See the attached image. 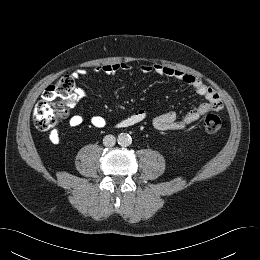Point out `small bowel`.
I'll use <instances>...</instances> for the list:
<instances>
[{"label": "small bowel", "instance_id": "small-bowel-1", "mask_svg": "<svg viewBox=\"0 0 260 260\" xmlns=\"http://www.w3.org/2000/svg\"><path fill=\"white\" fill-rule=\"evenodd\" d=\"M130 66L125 62L108 63L95 68L97 73H104L113 75L120 71H128ZM141 71L145 74H156L163 77L174 78L181 81L183 84L193 88L195 92L206 99V102L200 104L198 107L187 112L183 117L179 118L175 113L169 112L156 116L153 121V127L158 131H181L193 122L197 121L201 116L210 111H220L224 107V103L219 94L209 85L205 84L196 76L187 74L181 70L173 69L171 67L161 64H143ZM86 74L85 69H77L73 72L75 78H81ZM83 90L78 88V98L83 96ZM75 103V102H74ZM72 103L70 106H74ZM148 117V110L142 107L135 113L121 118L116 122L118 128H127L137 125L145 121ZM68 123L71 127H78L83 123V117L80 114L71 115L68 118ZM93 126L102 128L106 125L104 117L96 115L91 119ZM52 143H58L60 140L57 132H52L49 136Z\"/></svg>", "mask_w": 260, "mask_h": 260}]
</instances>
